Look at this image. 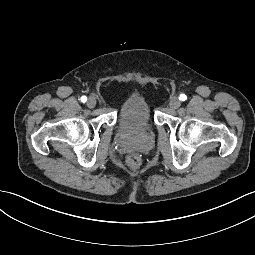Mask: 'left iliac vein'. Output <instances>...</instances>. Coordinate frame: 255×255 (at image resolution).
I'll use <instances>...</instances> for the list:
<instances>
[{"label":"left iliac vein","mask_w":255,"mask_h":255,"mask_svg":"<svg viewBox=\"0 0 255 255\" xmlns=\"http://www.w3.org/2000/svg\"><path fill=\"white\" fill-rule=\"evenodd\" d=\"M169 105H170V107H171L172 109H177V108L180 107L181 102H180L179 98H177V97H172V98L170 99Z\"/></svg>","instance_id":"1"}]
</instances>
